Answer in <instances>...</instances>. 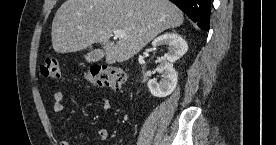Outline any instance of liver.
Listing matches in <instances>:
<instances>
[{"label": "liver", "mask_w": 276, "mask_h": 145, "mask_svg": "<svg viewBox=\"0 0 276 145\" xmlns=\"http://www.w3.org/2000/svg\"><path fill=\"white\" fill-rule=\"evenodd\" d=\"M182 11L169 0H66L52 22L57 53L81 51L101 44L106 63L123 62L140 52L161 32L179 27ZM116 29L126 38H110Z\"/></svg>", "instance_id": "obj_1"}]
</instances>
